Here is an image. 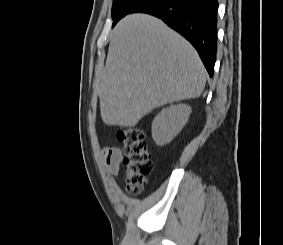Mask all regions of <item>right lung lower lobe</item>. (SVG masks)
Masks as SVG:
<instances>
[{
	"instance_id": "1",
	"label": "right lung lower lobe",
	"mask_w": 283,
	"mask_h": 245,
	"mask_svg": "<svg viewBox=\"0 0 283 245\" xmlns=\"http://www.w3.org/2000/svg\"><path fill=\"white\" fill-rule=\"evenodd\" d=\"M217 0H145L130 13L144 12L161 18L182 34L198 51L212 77L217 45Z\"/></svg>"
}]
</instances>
